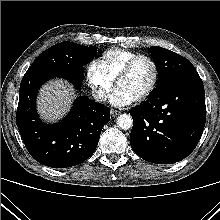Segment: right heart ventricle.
<instances>
[{"label":"right heart ventricle","instance_id":"obj_1","mask_svg":"<svg viewBox=\"0 0 220 220\" xmlns=\"http://www.w3.org/2000/svg\"><path fill=\"white\" fill-rule=\"evenodd\" d=\"M136 55H138L137 52L128 49L113 48L103 53L101 61L107 69L108 73L113 78H116L122 67Z\"/></svg>","mask_w":220,"mask_h":220}]
</instances>
